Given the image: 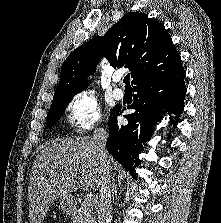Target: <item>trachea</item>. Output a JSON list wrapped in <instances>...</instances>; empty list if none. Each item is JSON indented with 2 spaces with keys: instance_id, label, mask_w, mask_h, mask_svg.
I'll list each match as a JSON object with an SVG mask.
<instances>
[{
  "instance_id": "trachea-1",
  "label": "trachea",
  "mask_w": 221,
  "mask_h": 223,
  "mask_svg": "<svg viewBox=\"0 0 221 223\" xmlns=\"http://www.w3.org/2000/svg\"><path fill=\"white\" fill-rule=\"evenodd\" d=\"M129 81H130V74H127V75L124 77V83H125V87H126V88H130V87H131Z\"/></svg>"
}]
</instances>
